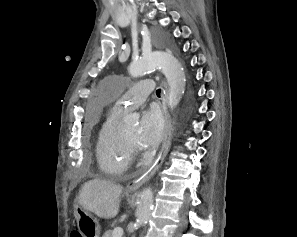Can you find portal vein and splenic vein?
I'll list each match as a JSON object with an SVG mask.
<instances>
[{
  "label": "portal vein and splenic vein",
  "instance_id": "obj_1",
  "mask_svg": "<svg viewBox=\"0 0 297 237\" xmlns=\"http://www.w3.org/2000/svg\"><path fill=\"white\" fill-rule=\"evenodd\" d=\"M123 229L121 227H117L113 230V237H122Z\"/></svg>",
  "mask_w": 297,
  "mask_h": 237
}]
</instances>
